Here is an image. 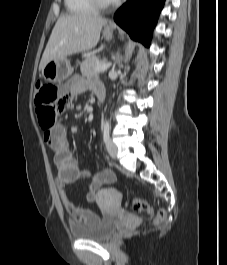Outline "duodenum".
Instances as JSON below:
<instances>
[{"label": "duodenum", "instance_id": "obj_1", "mask_svg": "<svg viewBox=\"0 0 227 265\" xmlns=\"http://www.w3.org/2000/svg\"><path fill=\"white\" fill-rule=\"evenodd\" d=\"M96 96H97V100L98 102H102L105 98V90L104 88H100L96 91Z\"/></svg>", "mask_w": 227, "mask_h": 265}]
</instances>
